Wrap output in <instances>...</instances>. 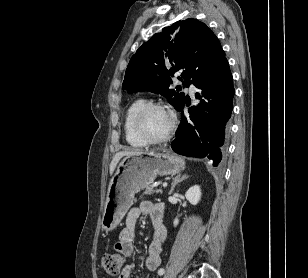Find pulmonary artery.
Instances as JSON below:
<instances>
[{"instance_id": "pulmonary-artery-1", "label": "pulmonary artery", "mask_w": 308, "mask_h": 278, "mask_svg": "<svg viewBox=\"0 0 308 278\" xmlns=\"http://www.w3.org/2000/svg\"><path fill=\"white\" fill-rule=\"evenodd\" d=\"M189 91H190V93H191L192 95L195 93L196 88H195V86H194L193 84H190V85H189Z\"/></svg>"}]
</instances>
